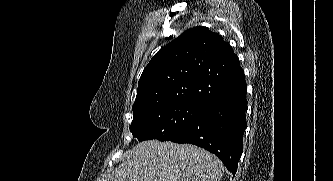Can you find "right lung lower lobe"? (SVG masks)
Here are the masks:
<instances>
[{"mask_svg":"<svg viewBox=\"0 0 333 181\" xmlns=\"http://www.w3.org/2000/svg\"><path fill=\"white\" fill-rule=\"evenodd\" d=\"M246 93L245 88L208 102L187 128L169 140L175 143H191L208 150L235 175L247 126Z\"/></svg>","mask_w":333,"mask_h":181,"instance_id":"98d812e1","label":"right lung lower lobe"}]
</instances>
